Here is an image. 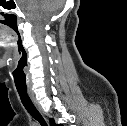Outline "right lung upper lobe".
<instances>
[{
	"label": "right lung upper lobe",
	"instance_id": "obj_1",
	"mask_svg": "<svg viewBox=\"0 0 127 126\" xmlns=\"http://www.w3.org/2000/svg\"><path fill=\"white\" fill-rule=\"evenodd\" d=\"M50 126H57L53 119H50ZM59 126H61V125H59Z\"/></svg>",
	"mask_w": 127,
	"mask_h": 126
}]
</instances>
